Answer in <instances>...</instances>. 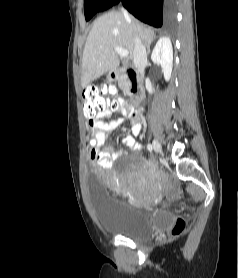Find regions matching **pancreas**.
<instances>
[{
	"mask_svg": "<svg viewBox=\"0 0 238 278\" xmlns=\"http://www.w3.org/2000/svg\"><path fill=\"white\" fill-rule=\"evenodd\" d=\"M118 85L123 90L128 89L130 83H129V80H128L127 76L121 77L119 82H118Z\"/></svg>",
	"mask_w": 238,
	"mask_h": 278,
	"instance_id": "cf45deb5",
	"label": "pancreas"
}]
</instances>
